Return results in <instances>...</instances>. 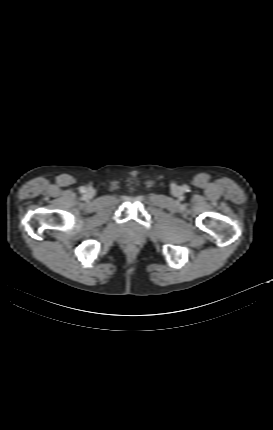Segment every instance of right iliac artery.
I'll return each instance as SVG.
<instances>
[{
  "instance_id": "82829eb1",
  "label": "right iliac artery",
  "mask_w": 273,
  "mask_h": 430,
  "mask_svg": "<svg viewBox=\"0 0 273 430\" xmlns=\"http://www.w3.org/2000/svg\"><path fill=\"white\" fill-rule=\"evenodd\" d=\"M85 190H86V188L85 187H81L80 188V191L83 193V192H85Z\"/></svg>"
}]
</instances>
